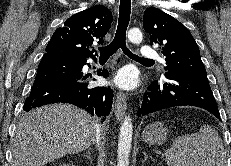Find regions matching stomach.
I'll use <instances>...</instances> for the list:
<instances>
[{"label":"stomach","mask_w":231,"mask_h":166,"mask_svg":"<svg viewBox=\"0 0 231 166\" xmlns=\"http://www.w3.org/2000/svg\"><path fill=\"white\" fill-rule=\"evenodd\" d=\"M168 135L167 127L160 122L148 124L143 132V140L149 145H160L166 141Z\"/></svg>","instance_id":"obj_1"}]
</instances>
